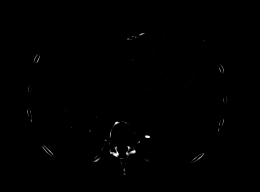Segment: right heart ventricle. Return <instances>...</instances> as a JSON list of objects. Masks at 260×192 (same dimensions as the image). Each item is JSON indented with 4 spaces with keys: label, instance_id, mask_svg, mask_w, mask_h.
<instances>
[{
    "label": "right heart ventricle",
    "instance_id": "e07e8e85",
    "mask_svg": "<svg viewBox=\"0 0 260 192\" xmlns=\"http://www.w3.org/2000/svg\"><path fill=\"white\" fill-rule=\"evenodd\" d=\"M168 60V57H162L154 60L146 56V54H140L134 59V63L138 71L143 75L147 76L164 65Z\"/></svg>",
    "mask_w": 260,
    "mask_h": 192
}]
</instances>
